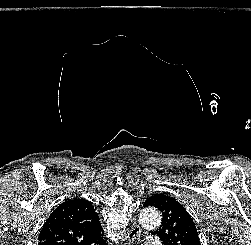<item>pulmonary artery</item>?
<instances>
[{
  "label": "pulmonary artery",
  "mask_w": 251,
  "mask_h": 245,
  "mask_svg": "<svg viewBox=\"0 0 251 245\" xmlns=\"http://www.w3.org/2000/svg\"><path fill=\"white\" fill-rule=\"evenodd\" d=\"M148 245H161V243L158 241V239L156 237H149L147 238V242Z\"/></svg>",
  "instance_id": "obj_1"
}]
</instances>
